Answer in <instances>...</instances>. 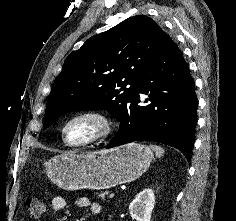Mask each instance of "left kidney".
I'll return each instance as SVG.
<instances>
[{"label":"left kidney","mask_w":236,"mask_h":221,"mask_svg":"<svg viewBox=\"0 0 236 221\" xmlns=\"http://www.w3.org/2000/svg\"><path fill=\"white\" fill-rule=\"evenodd\" d=\"M155 205L154 192L146 188L139 192L129 206V212L136 221H150L152 210Z\"/></svg>","instance_id":"obj_1"}]
</instances>
